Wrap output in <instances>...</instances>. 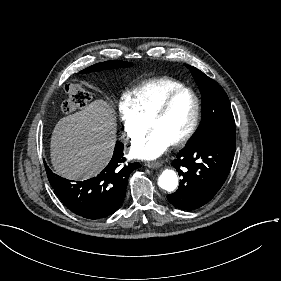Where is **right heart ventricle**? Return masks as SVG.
Returning a JSON list of instances; mask_svg holds the SVG:
<instances>
[{
	"label": "right heart ventricle",
	"instance_id": "right-heart-ventricle-1",
	"mask_svg": "<svg viewBox=\"0 0 281 281\" xmlns=\"http://www.w3.org/2000/svg\"><path fill=\"white\" fill-rule=\"evenodd\" d=\"M185 88L175 79H162L148 87L138 89L126 96V99L143 123L147 117L172 93Z\"/></svg>",
	"mask_w": 281,
	"mask_h": 281
}]
</instances>
